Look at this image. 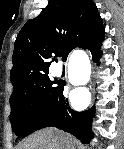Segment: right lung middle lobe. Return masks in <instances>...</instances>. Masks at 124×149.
<instances>
[{
    "instance_id": "dd1d6c3e",
    "label": "right lung middle lobe",
    "mask_w": 124,
    "mask_h": 149,
    "mask_svg": "<svg viewBox=\"0 0 124 149\" xmlns=\"http://www.w3.org/2000/svg\"><path fill=\"white\" fill-rule=\"evenodd\" d=\"M48 73L37 77L27 85L14 89L10 97L12 131L21 136L30 118L46 105L57 87Z\"/></svg>"
}]
</instances>
